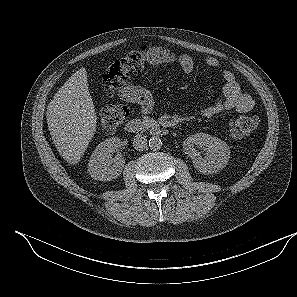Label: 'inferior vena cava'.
<instances>
[{"label": "inferior vena cava", "instance_id": "602c4592", "mask_svg": "<svg viewBox=\"0 0 297 297\" xmlns=\"http://www.w3.org/2000/svg\"><path fill=\"white\" fill-rule=\"evenodd\" d=\"M133 147L137 151H143L147 147V137L141 134H138L133 139Z\"/></svg>", "mask_w": 297, "mask_h": 297}]
</instances>
